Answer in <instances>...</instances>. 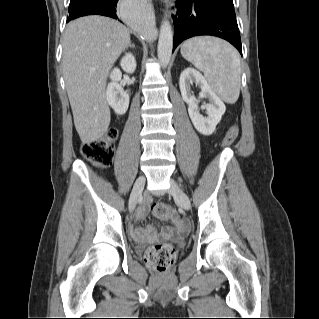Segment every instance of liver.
Here are the masks:
<instances>
[{
    "instance_id": "obj_1",
    "label": "liver",
    "mask_w": 319,
    "mask_h": 319,
    "mask_svg": "<svg viewBox=\"0 0 319 319\" xmlns=\"http://www.w3.org/2000/svg\"><path fill=\"white\" fill-rule=\"evenodd\" d=\"M129 43V29L108 17H81L66 26L63 76L75 128L84 144L101 138L108 130L107 76Z\"/></svg>"
}]
</instances>
